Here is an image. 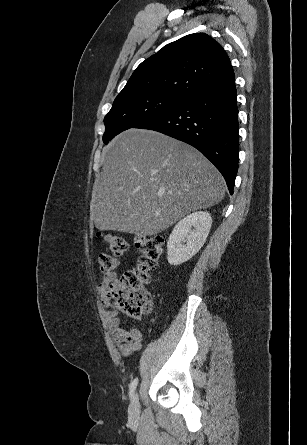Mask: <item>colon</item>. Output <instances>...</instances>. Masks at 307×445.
I'll list each match as a JSON object with an SVG mask.
<instances>
[{
  "mask_svg": "<svg viewBox=\"0 0 307 445\" xmlns=\"http://www.w3.org/2000/svg\"><path fill=\"white\" fill-rule=\"evenodd\" d=\"M112 253H101L99 265L103 273H110L120 266V257L127 251L124 238L108 234L104 237ZM139 260L135 268L126 271L108 290V297L127 317L141 320L152 309V297L145 285L151 272L157 267L164 252V240L160 236H139L135 240Z\"/></svg>",
  "mask_w": 307,
  "mask_h": 445,
  "instance_id": "colon-1",
  "label": "colon"
}]
</instances>
